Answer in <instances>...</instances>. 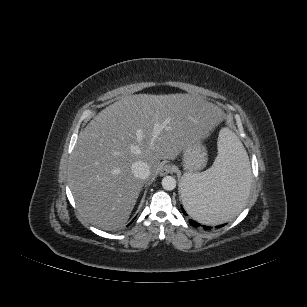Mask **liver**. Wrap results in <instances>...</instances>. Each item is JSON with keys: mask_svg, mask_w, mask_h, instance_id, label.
Masks as SVG:
<instances>
[{"mask_svg": "<svg viewBox=\"0 0 307 307\" xmlns=\"http://www.w3.org/2000/svg\"><path fill=\"white\" fill-rule=\"evenodd\" d=\"M225 115L188 94H138L99 112L80 132L70 156L69 186L80 214L111 231L125 225L144 185L131 166L144 161L155 174L192 138L201 139Z\"/></svg>", "mask_w": 307, "mask_h": 307, "instance_id": "6515ba94", "label": "liver"}]
</instances>
